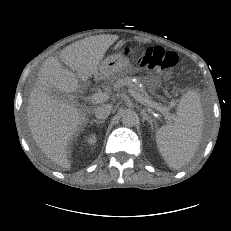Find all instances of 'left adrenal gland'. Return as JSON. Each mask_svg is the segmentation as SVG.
Masks as SVG:
<instances>
[{"mask_svg": "<svg viewBox=\"0 0 231 231\" xmlns=\"http://www.w3.org/2000/svg\"><path fill=\"white\" fill-rule=\"evenodd\" d=\"M141 115L143 117V121H147L150 125L152 130L154 129V124L152 118L146 113L144 109L141 110Z\"/></svg>", "mask_w": 231, "mask_h": 231, "instance_id": "obj_1", "label": "left adrenal gland"}]
</instances>
